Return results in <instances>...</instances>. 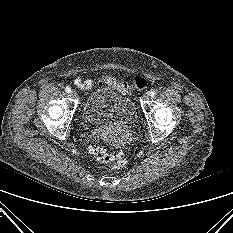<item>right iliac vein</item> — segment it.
I'll return each instance as SVG.
<instances>
[{
    "label": "right iliac vein",
    "mask_w": 233,
    "mask_h": 233,
    "mask_svg": "<svg viewBox=\"0 0 233 233\" xmlns=\"http://www.w3.org/2000/svg\"><path fill=\"white\" fill-rule=\"evenodd\" d=\"M70 95H71L73 98H76V96H77V94H76L75 91H71V92H70Z\"/></svg>",
    "instance_id": "right-iliac-vein-1"
}]
</instances>
